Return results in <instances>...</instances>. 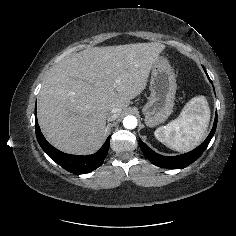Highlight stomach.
Wrapping results in <instances>:
<instances>
[{"label":"stomach","instance_id":"obj_1","mask_svg":"<svg viewBox=\"0 0 236 236\" xmlns=\"http://www.w3.org/2000/svg\"><path fill=\"white\" fill-rule=\"evenodd\" d=\"M150 90L151 94L142 112L145 124L154 127L171 115L177 90L175 72L164 57H158L153 64Z\"/></svg>","mask_w":236,"mask_h":236}]
</instances>
